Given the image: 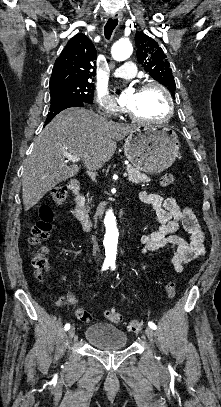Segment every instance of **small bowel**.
<instances>
[{
    "label": "small bowel",
    "mask_w": 221,
    "mask_h": 407,
    "mask_svg": "<svg viewBox=\"0 0 221 407\" xmlns=\"http://www.w3.org/2000/svg\"><path fill=\"white\" fill-rule=\"evenodd\" d=\"M139 198L143 203L153 208L155 217L159 222L155 230L142 236L143 253L153 251L166 244L174 245L176 249L172 263L176 271H181L185 263L204 254L205 234L190 207L180 205L173 197L164 199L159 194L147 191L141 192ZM180 227L189 234V242L177 234ZM60 279H64V277L61 276ZM40 281H42L41 277ZM52 298L57 306L63 305L61 297L54 295Z\"/></svg>",
    "instance_id": "c3829d8e"
}]
</instances>
